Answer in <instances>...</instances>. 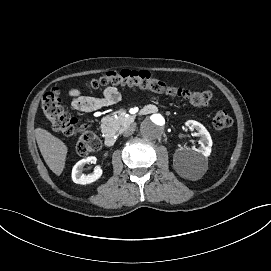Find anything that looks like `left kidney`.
Wrapping results in <instances>:
<instances>
[{
  "label": "left kidney",
  "instance_id": "5707ae66",
  "mask_svg": "<svg viewBox=\"0 0 271 271\" xmlns=\"http://www.w3.org/2000/svg\"><path fill=\"white\" fill-rule=\"evenodd\" d=\"M192 129H196L200 136V147L195 150L180 148L174 154L175 165L185 173L193 176L196 174V167L200 163V157H208L211 153L212 139L206 128L199 122L189 120L186 123Z\"/></svg>",
  "mask_w": 271,
  "mask_h": 271
}]
</instances>
